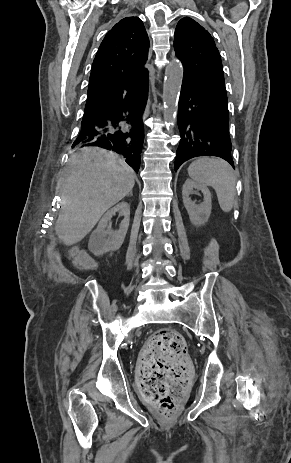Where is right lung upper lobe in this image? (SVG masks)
I'll return each instance as SVG.
<instances>
[{"instance_id":"cb5924a9","label":"right lung upper lobe","mask_w":291,"mask_h":463,"mask_svg":"<svg viewBox=\"0 0 291 463\" xmlns=\"http://www.w3.org/2000/svg\"><path fill=\"white\" fill-rule=\"evenodd\" d=\"M149 38L138 17L119 21L106 34L92 64L84 118L89 120L122 106L148 86Z\"/></svg>"}]
</instances>
